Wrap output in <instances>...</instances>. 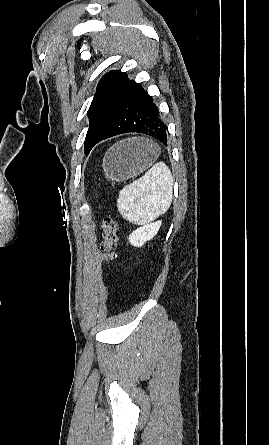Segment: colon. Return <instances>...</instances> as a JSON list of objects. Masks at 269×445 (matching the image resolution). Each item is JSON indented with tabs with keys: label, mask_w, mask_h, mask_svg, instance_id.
Segmentation results:
<instances>
[{
	"label": "colon",
	"mask_w": 269,
	"mask_h": 445,
	"mask_svg": "<svg viewBox=\"0 0 269 445\" xmlns=\"http://www.w3.org/2000/svg\"><path fill=\"white\" fill-rule=\"evenodd\" d=\"M101 227L103 231L101 250L103 252L104 261L114 266L117 258L115 250L118 242V223L112 217H105L102 220Z\"/></svg>",
	"instance_id": "obj_1"
}]
</instances>
